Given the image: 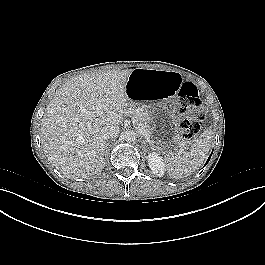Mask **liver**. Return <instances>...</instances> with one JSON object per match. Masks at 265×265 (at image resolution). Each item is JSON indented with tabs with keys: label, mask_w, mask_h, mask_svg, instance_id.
<instances>
[{
	"label": "liver",
	"mask_w": 265,
	"mask_h": 265,
	"mask_svg": "<svg viewBox=\"0 0 265 265\" xmlns=\"http://www.w3.org/2000/svg\"><path fill=\"white\" fill-rule=\"evenodd\" d=\"M131 72L80 75L67 81L49 102L41 123L42 147L67 178H87L104 168L107 146L101 130L117 126L123 118Z\"/></svg>",
	"instance_id": "6515ba94"
}]
</instances>
